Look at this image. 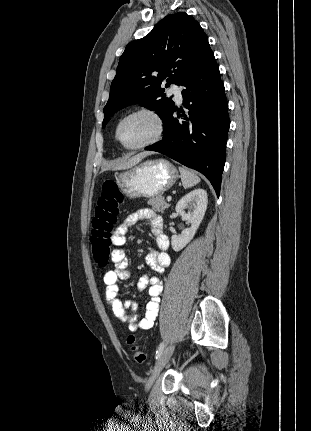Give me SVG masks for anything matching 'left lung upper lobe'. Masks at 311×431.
Masks as SVG:
<instances>
[{
    "label": "left lung upper lobe",
    "instance_id": "5c2ea615",
    "mask_svg": "<svg viewBox=\"0 0 311 431\" xmlns=\"http://www.w3.org/2000/svg\"><path fill=\"white\" fill-rule=\"evenodd\" d=\"M208 49L203 29L184 12L166 16L147 36L129 43L111 84L103 127L118 110L131 104L157 111L164 121L174 102L161 85L165 81V87L180 85Z\"/></svg>",
    "mask_w": 311,
    "mask_h": 431
}]
</instances>
